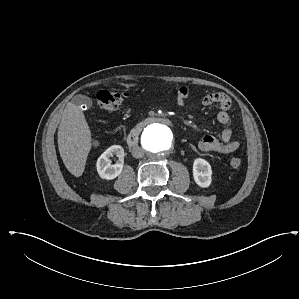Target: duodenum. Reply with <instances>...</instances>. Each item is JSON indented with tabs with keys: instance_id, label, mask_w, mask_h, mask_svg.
Returning a JSON list of instances; mask_svg holds the SVG:
<instances>
[{
	"instance_id": "obj_1",
	"label": "duodenum",
	"mask_w": 299,
	"mask_h": 299,
	"mask_svg": "<svg viewBox=\"0 0 299 299\" xmlns=\"http://www.w3.org/2000/svg\"><path fill=\"white\" fill-rule=\"evenodd\" d=\"M159 121L172 126V122L169 119L164 118V117L149 116V117L143 118V119L139 120L137 122V124L130 131L128 138H127L128 145L135 146L137 144V141H138V138H139V135H140L142 129L149 123L159 122Z\"/></svg>"
}]
</instances>
